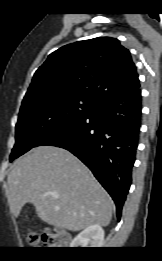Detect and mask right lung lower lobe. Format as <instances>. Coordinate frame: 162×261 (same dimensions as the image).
I'll use <instances>...</instances> for the list:
<instances>
[{
    "mask_svg": "<svg viewBox=\"0 0 162 261\" xmlns=\"http://www.w3.org/2000/svg\"><path fill=\"white\" fill-rule=\"evenodd\" d=\"M139 87L96 101L88 114L54 129L35 145L61 147L77 156L113 198L118 220L131 185L138 145Z\"/></svg>",
    "mask_w": 162,
    "mask_h": 261,
    "instance_id": "obj_1",
    "label": "right lung lower lobe"
}]
</instances>
